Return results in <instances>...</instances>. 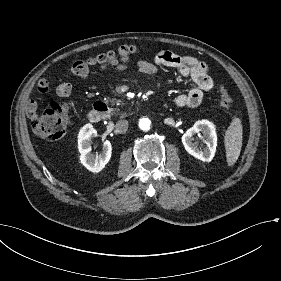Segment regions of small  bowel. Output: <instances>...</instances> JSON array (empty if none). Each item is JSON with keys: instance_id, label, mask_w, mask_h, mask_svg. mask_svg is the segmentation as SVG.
I'll return each instance as SVG.
<instances>
[{"instance_id": "small-bowel-1", "label": "small bowel", "mask_w": 281, "mask_h": 281, "mask_svg": "<svg viewBox=\"0 0 281 281\" xmlns=\"http://www.w3.org/2000/svg\"><path fill=\"white\" fill-rule=\"evenodd\" d=\"M128 68H135L149 74L160 69H174L183 77L189 78L192 82L191 88L186 93L178 95L175 99L176 105L180 108L196 107L201 102L203 95L213 88L208 66L197 58L188 55L161 51L153 61L136 60L129 65L120 64L115 67L117 71H124ZM72 72L80 79H86L89 69L84 62L78 61L74 63ZM49 92L50 86L44 79L36 82L35 86L27 91L26 97L29 102L26 105V111L30 118L36 116L37 103L46 98ZM71 92L72 85L68 82H63L56 88V94L59 97H68Z\"/></svg>"}]
</instances>
